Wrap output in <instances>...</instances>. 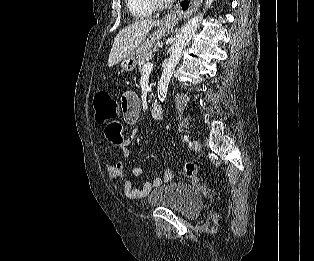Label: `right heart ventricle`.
I'll return each instance as SVG.
<instances>
[{
  "label": "right heart ventricle",
  "mask_w": 314,
  "mask_h": 261,
  "mask_svg": "<svg viewBox=\"0 0 314 261\" xmlns=\"http://www.w3.org/2000/svg\"><path fill=\"white\" fill-rule=\"evenodd\" d=\"M126 5L130 14L137 19L151 17L155 12L150 0H126Z\"/></svg>",
  "instance_id": "obj_1"
}]
</instances>
